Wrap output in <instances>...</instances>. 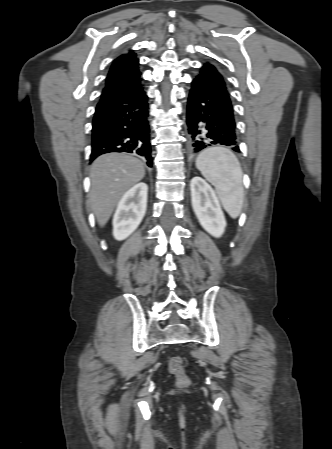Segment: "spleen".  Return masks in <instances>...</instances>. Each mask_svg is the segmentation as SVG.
Listing matches in <instances>:
<instances>
[{
    "label": "spleen",
    "instance_id": "1",
    "mask_svg": "<svg viewBox=\"0 0 332 449\" xmlns=\"http://www.w3.org/2000/svg\"><path fill=\"white\" fill-rule=\"evenodd\" d=\"M196 167L216 189L223 208L237 218L242 210L244 189L241 165L232 151L225 147H211L196 159Z\"/></svg>",
    "mask_w": 332,
    "mask_h": 449
}]
</instances>
